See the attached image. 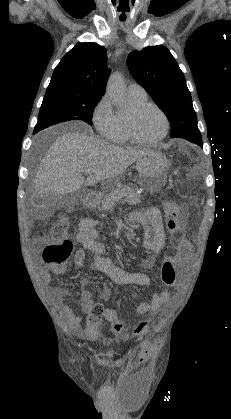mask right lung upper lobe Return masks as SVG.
<instances>
[{"label":"right lung upper lobe","mask_w":231,"mask_h":419,"mask_svg":"<svg viewBox=\"0 0 231 419\" xmlns=\"http://www.w3.org/2000/svg\"><path fill=\"white\" fill-rule=\"evenodd\" d=\"M107 61L104 47L79 43L56 66L47 89L65 88L80 95L102 96L110 73Z\"/></svg>","instance_id":"right-lung-upper-lobe-1"}]
</instances>
